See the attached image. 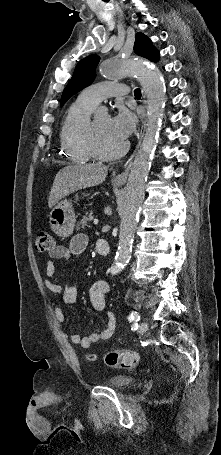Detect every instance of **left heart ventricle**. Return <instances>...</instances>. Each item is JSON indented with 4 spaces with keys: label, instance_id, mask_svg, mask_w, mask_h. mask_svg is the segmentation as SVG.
<instances>
[{
    "label": "left heart ventricle",
    "instance_id": "obj_1",
    "mask_svg": "<svg viewBox=\"0 0 221 455\" xmlns=\"http://www.w3.org/2000/svg\"><path fill=\"white\" fill-rule=\"evenodd\" d=\"M97 144L101 151L112 152L118 149L124 140L120 139L112 130L111 118L107 115L94 120Z\"/></svg>",
    "mask_w": 221,
    "mask_h": 455
}]
</instances>
